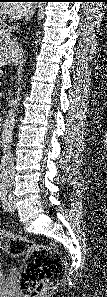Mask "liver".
<instances>
[{"label": "liver", "mask_w": 107, "mask_h": 297, "mask_svg": "<svg viewBox=\"0 0 107 297\" xmlns=\"http://www.w3.org/2000/svg\"><path fill=\"white\" fill-rule=\"evenodd\" d=\"M23 50L19 43L0 36V66L17 65L22 58Z\"/></svg>", "instance_id": "1"}]
</instances>
